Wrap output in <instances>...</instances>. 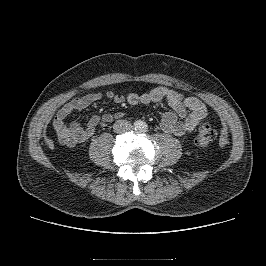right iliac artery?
Masks as SVG:
<instances>
[{
	"label": "right iliac artery",
	"mask_w": 266,
	"mask_h": 266,
	"mask_svg": "<svg viewBox=\"0 0 266 266\" xmlns=\"http://www.w3.org/2000/svg\"><path fill=\"white\" fill-rule=\"evenodd\" d=\"M134 125H135V129L140 127V124L138 122H136Z\"/></svg>",
	"instance_id": "obj_1"
}]
</instances>
